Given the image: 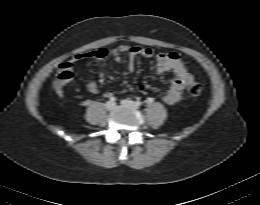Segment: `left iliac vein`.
<instances>
[{
	"mask_svg": "<svg viewBox=\"0 0 260 205\" xmlns=\"http://www.w3.org/2000/svg\"><path fill=\"white\" fill-rule=\"evenodd\" d=\"M122 104H123V105H127V106H131V107H134V108L137 107L136 104H135V102L132 101V100H129V99L123 100V101H122Z\"/></svg>",
	"mask_w": 260,
	"mask_h": 205,
	"instance_id": "1",
	"label": "left iliac vein"
}]
</instances>
